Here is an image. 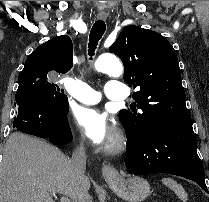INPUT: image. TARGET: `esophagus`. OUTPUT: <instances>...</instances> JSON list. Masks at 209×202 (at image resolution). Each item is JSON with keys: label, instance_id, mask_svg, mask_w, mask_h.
<instances>
[{"label": "esophagus", "instance_id": "1", "mask_svg": "<svg viewBox=\"0 0 209 202\" xmlns=\"http://www.w3.org/2000/svg\"><path fill=\"white\" fill-rule=\"evenodd\" d=\"M107 17H108V14L106 12H100L97 15V19L99 20H106ZM102 175L107 182H110L116 179L119 176V173L116 170V168L113 167L112 165L104 164L102 166Z\"/></svg>", "mask_w": 209, "mask_h": 202}]
</instances>
